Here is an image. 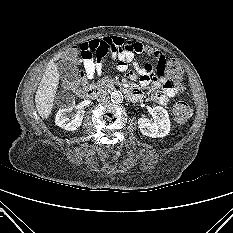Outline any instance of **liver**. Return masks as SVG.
<instances>
[{"label":"liver","mask_w":233,"mask_h":233,"mask_svg":"<svg viewBox=\"0 0 233 233\" xmlns=\"http://www.w3.org/2000/svg\"><path fill=\"white\" fill-rule=\"evenodd\" d=\"M61 57H63V53L58 54L47 64L35 94L36 109L43 119H47L49 117L53 108V101L60 79L57 66L54 61Z\"/></svg>","instance_id":"obj_1"}]
</instances>
